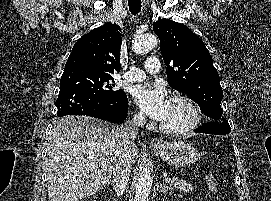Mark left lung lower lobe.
I'll list each match as a JSON object with an SVG mask.
<instances>
[{"mask_svg": "<svg viewBox=\"0 0 271 201\" xmlns=\"http://www.w3.org/2000/svg\"><path fill=\"white\" fill-rule=\"evenodd\" d=\"M194 132L198 133H207V134H217V135H222L221 134V128H219L216 125H202L194 130Z\"/></svg>", "mask_w": 271, "mask_h": 201, "instance_id": "left-lung-lower-lobe-1", "label": "left lung lower lobe"}]
</instances>
